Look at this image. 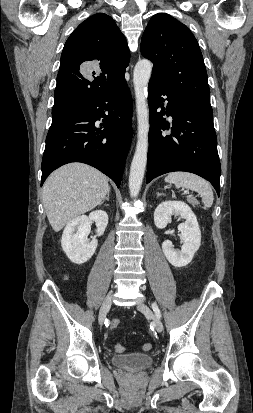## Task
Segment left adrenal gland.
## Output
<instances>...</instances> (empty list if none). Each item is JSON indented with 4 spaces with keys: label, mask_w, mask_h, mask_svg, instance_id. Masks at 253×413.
Masks as SVG:
<instances>
[{
    "label": "left adrenal gland",
    "mask_w": 253,
    "mask_h": 413,
    "mask_svg": "<svg viewBox=\"0 0 253 413\" xmlns=\"http://www.w3.org/2000/svg\"><path fill=\"white\" fill-rule=\"evenodd\" d=\"M165 196V194L164 193H157V197H159V196Z\"/></svg>",
    "instance_id": "1"
}]
</instances>
